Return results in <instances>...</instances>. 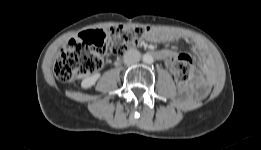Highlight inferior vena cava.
I'll return each instance as SVG.
<instances>
[{
	"instance_id": "602c4592",
	"label": "inferior vena cava",
	"mask_w": 261,
	"mask_h": 150,
	"mask_svg": "<svg viewBox=\"0 0 261 150\" xmlns=\"http://www.w3.org/2000/svg\"><path fill=\"white\" fill-rule=\"evenodd\" d=\"M140 59H141V54L136 49L128 50L124 54V63L127 65L136 64L140 61Z\"/></svg>"
}]
</instances>
